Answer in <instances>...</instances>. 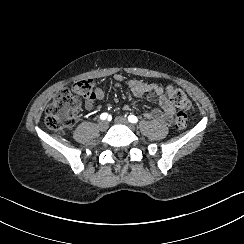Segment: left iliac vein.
Segmentation results:
<instances>
[{"label": "left iliac vein", "mask_w": 244, "mask_h": 244, "mask_svg": "<svg viewBox=\"0 0 244 244\" xmlns=\"http://www.w3.org/2000/svg\"><path fill=\"white\" fill-rule=\"evenodd\" d=\"M115 122L118 123V124L126 125V126H128L131 130H134V129H135V126H134L133 124L129 123V122L127 121V119L124 118V117H122V116H117V117L115 118Z\"/></svg>", "instance_id": "obj_1"}]
</instances>
